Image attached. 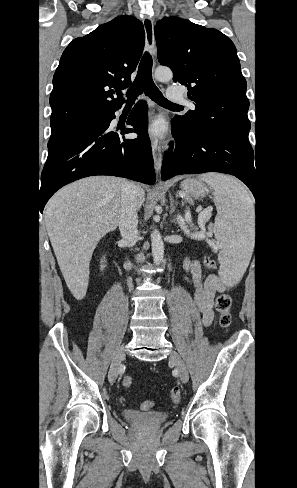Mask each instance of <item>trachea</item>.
I'll return each instance as SVG.
<instances>
[{
  "label": "trachea",
  "instance_id": "1",
  "mask_svg": "<svg viewBox=\"0 0 297 488\" xmlns=\"http://www.w3.org/2000/svg\"><path fill=\"white\" fill-rule=\"evenodd\" d=\"M143 92L157 104L163 107H182L168 101L153 82L152 58L151 55L147 52H145V54L143 55L139 64L137 76L132 86L127 91V104H132L137 96L142 94Z\"/></svg>",
  "mask_w": 297,
  "mask_h": 488
}]
</instances>
